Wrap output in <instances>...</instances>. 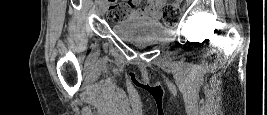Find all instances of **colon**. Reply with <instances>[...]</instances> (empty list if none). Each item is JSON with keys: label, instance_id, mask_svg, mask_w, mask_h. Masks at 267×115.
I'll use <instances>...</instances> for the list:
<instances>
[{"label": "colon", "instance_id": "colon-1", "mask_svg": "<svg viewBox=\"0 0 267 115\" xmlns=\"http://www.w3.org/2000/svg\"><path fill=\"white\" fill-rule=\"evenodd\" d=\"M130 3H117L110 6L107 18L112 23L123 21L131 12ZM180 7L177 2L167 3L162 7V15L166 21H175L180 17Z\"/></svg>", "mask_w": 267, "mask_h": 115}]
</instances>
